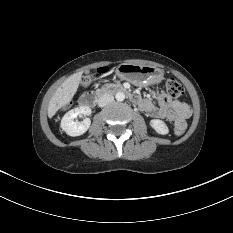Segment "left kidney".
Masks as SVG:
<instances>
[{"label":"left kidney","instance_id":"obj_1","mask_svg":"<svg viewBox=\"0 0 233 233\" xmlns=\"http://www.w3.org/2000/svg\"><path fill=\"white\" fill-rule=\"evenodd\" d=\"M150 126L158 133L161 135H166L169 133V129L165 122L159 119H153L150 121Z\"/></svg>","mask_w":233,"mask_h":233}]
</instances>
